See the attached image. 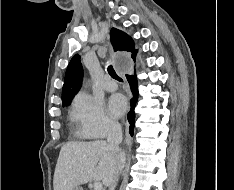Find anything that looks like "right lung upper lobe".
I'll use <instances>...</instances> for the list:
<instances>
[{"label": "right lung upper lobe", "instance_id": "cb5924a9", "mask_svg": "<svg viewBox=\"0 0 234 190\" xmlns=\"http://www.w3.org/2000/svg\"><path fill=\"white\" fill-rule=\"evenodd\" d=\"M111 43L115 51L131 52V57L135 59L136 50L134 42L130 36L121 30L112 28L110 31ZM83 69L80 62V56L74 55L71 59L65 74L64 85L62 89V104L72 101L74 95L81 87Z\"/></svg>", "mask_w": 234, "mask_h": 190}]
</instances>
